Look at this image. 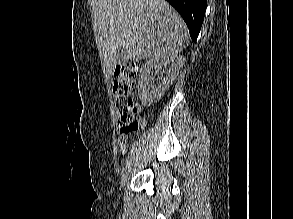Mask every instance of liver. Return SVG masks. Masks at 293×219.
I'll return each mask as SVG.
<instances>
[{"label": "liver", "instance_id": "6515ba94", "mask_svg": "<svg viewBox=\"0 0 293 219\" xmlns=\"http://www.w3.org/2000/svg\"><path fill=\"white\" fill-rule=\"evenodd\" d=\"M94 32L109 76L120 47L130 59H154L177 55L187 39L184 21L165 0H98Z\"/></svg>", "mask_w": 293, "mask_h": 219}]
</instances>
